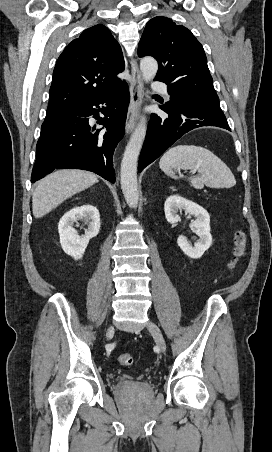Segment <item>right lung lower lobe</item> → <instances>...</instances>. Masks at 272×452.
<instances>
[{
  "label": "right lung lower lobe",
  "mask_w": 272,
  "mask_h": 452,
  "mask_svg": "<svg viewBox=\"0 0 272 452\" xmlns=\"http://www.w3.org/2000/svg\"><path fill=\"white\" fill-rule=\"evenodd\" d=\"M129 89L123 81L116 89L84 101L77 107L58 113H47L36 146V161L31 182L54 169L76 168L92 171L115 182L113 153L125 132ZM99 104L105 105L102 109ZM98 108V109H97ZM101 111L105 117H99ZM99 118L106 130L89 124V117Z\"/></svg>",
  "instance_id": "obj_1"
}]
</instances>
